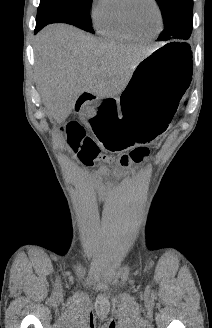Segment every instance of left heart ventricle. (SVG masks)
<instances>
[{
	"instance_id": "b2bd125f",
	"label": "left heart ventricle",
	"mask_w": 212,
	"mask_h": 328,
	"mask_svg": "<svg viewBox=\"0 0 212 328\" xmlns=\"http://www.w3.org/2000/svg\"><path fill=\"white\" fill-rule=\"evenodd\" d=\"M132 16L136 25L145 32L153 33L159 27V16L150 0H136Z\"/></svg>"
}]
</instances>
